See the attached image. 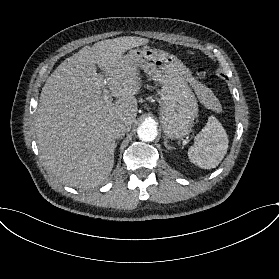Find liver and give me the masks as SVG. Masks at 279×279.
I'll list each match as a JSON object with an SVG mask.
<instances>
[{
	"instance_id": "obj_1",
	"label": "liver",
	"mask_w": 279,
	"mask_h": 279,
	"mask_svg": "<svg viewBox=\"0 0 279 279\" xmlns=\"http://www.w3.org/2000/svg\"><path fill=\"white\" fill-rule=\"evenodd\" d=\"M148 42L125 36L84 46L47 78L35 116L37 143L64 184L86 189L107 183L114 166L111 130L117 124L130 128L138 111V64L123 54ZM189 81L200 96L202 85L192 77ZM106 85L115 103L104 100Z\"/></svg>"
}]
</instances>
